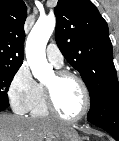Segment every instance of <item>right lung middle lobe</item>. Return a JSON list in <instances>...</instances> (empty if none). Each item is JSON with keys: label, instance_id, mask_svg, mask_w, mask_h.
<instances>
[{"label": "right lung middle lobe", "instance_id": "obj_1", "mask_svg": "<svg viewBox=\"0 0 119 141\" xmlns=\"http://www.w3.org/2000/svg\"><path fill=\"white\" fill-rule=\"evenodd\" d=\"M19 67H0V105L8 107L7 90Z\"/></svg>", "mask_w": 119, "mask_h": 141}]
</instances>
